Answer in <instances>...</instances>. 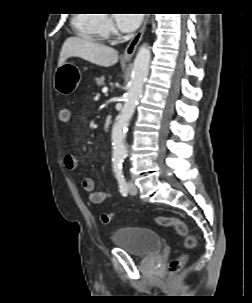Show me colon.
<instances>
[{"label": "colon", "instance_id": "colon-1", "mask_svg": "<svg viewBox=\"0 0 252 303\" xmlns=\"http://www.w3.org/2000/svg\"><path fill=\"white\" fill-rule=\"evenodd\" d=\"M59 119L63 123H68L70 121V110L67 106H61L59 108ZM112 213H103L100 217L104 224H108L112 220ZM156 223L161 226L174 227L176 231L183 237V245L186 250H193L197 246L196 237L189 232L187 225L174 216H163L159 215L156 217ZM188 260V255L183 252L177 257L172 259L169 263L168 272L170 275H176L180 272Z\"/></svg>", "mask_w": 252, "mask_h": 303}]
</instances>
